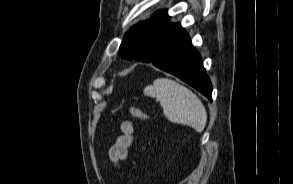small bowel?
<instances>
[{"label": "small bowel", "mask_w": 293, "mask_h": 184, "mask_svg": "<svg viewBox=\"0 0 293 184\" xmlns=\"http://www.w3.org/2000/svg\"><path fill=\"white\" fill-rule=\"evenodd\" d=\"M122 134L116 139L114 145L108 152V160L114 165H118L125 160L128 149L133 143L134 126L131 121H124L121 124Z\"/></svg>", "instance_id": "small-bowel-1"}]
</instances>
